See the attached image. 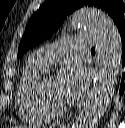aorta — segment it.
I'll return each instance as SVG.
<instances>
[{"instance_id":"obj_1","label":"aorta","mask_w":125,"mask_h":128,"mask_svg":"<svg viewBox=\"0 0 125 128\" xmlns=\"http://www.w3.org/2000/svg\"><path fill=\"white\" fill-rule=\"evenodd\" d=\"M71 24L92 33L97 42V75L74 128H96L114 95L121 61V38L109 16L96 8L72 15Z\"/></svg>"}]
</instances>
